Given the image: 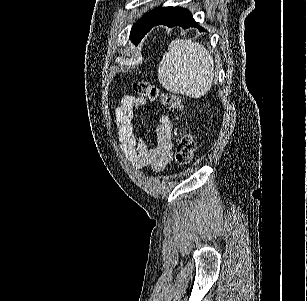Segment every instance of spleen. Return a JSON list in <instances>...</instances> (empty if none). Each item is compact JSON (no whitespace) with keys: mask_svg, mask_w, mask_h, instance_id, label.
Wrapping results in <instances>:
<instances>
[{"mask_svg":"<svg viewBox=\"0 0 307 301\" xmlns=\"http://www.w3.org/2000/svg\"><path fill=\"white\" fill-rule=\"evenodd\" d=\"M212 54L192 38H175L158 66L160 84L176 94L201 98L210 90L214 76Z\"/></svg>","mask_w":307,"mask_h":301,"instance_id":"1","label":"spleen"}]
</instances>
